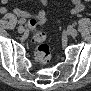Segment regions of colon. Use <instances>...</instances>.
I'll return each mask as SVG.
<instances>
[{"instance_id":"obj_1","label":"colon","mask_w":91,"mask_h":91,"mask_svg":"<svg viewBox=\"0 0 91 91\" xmlns=\"http://www.w3.org/2000/svg\"><path fill=\"white\" fill-rule=\"evenodd\" d=\"M46 20L44 17H34L29 20L30 29L32 33V43L35 46V60L39 63H48L51 58V49L49 44L46 42V35L42 32H36V27Z\"/></svg>"}]
</instances>
